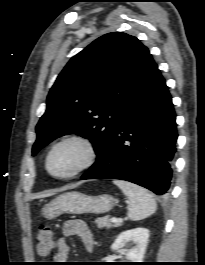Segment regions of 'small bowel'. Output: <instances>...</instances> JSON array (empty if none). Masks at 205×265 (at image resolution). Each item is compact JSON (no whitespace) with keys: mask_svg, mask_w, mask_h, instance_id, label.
<instances>
[{"mask_svg":"<svg viewBox=\"0 0 205 265\" xmlns=\"http://www.w3.org/2000/svg\"><path fill=\"white\" fill-rule=\"evenodd\" d=\"M63 237L57 241V252L54 256L55 264L64 263L69 255L70 246L67 239L77 236L81 239L83 246L87 252H92L94 248V238L87 224L78 219L68 220L63 224Z\"/></svg>","mask_w":205,"mask_h":265,"instance_id":"obj_1","label":"small bowel"}]
</instances>
